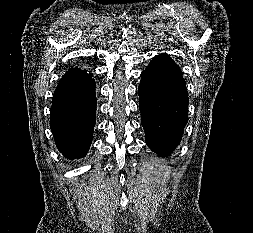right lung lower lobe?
<instances>
[{"mask_svg": "<svg viewBox=\"0 0 253 233\" xmlns=\"http://www.w3.org/2000/svg\"><path fill=\"white\" fill-rule=\"evenodd\" d=\"M95 80L87 70L70 68L54 92L50 127L60 152L68 159L84 157L93 137Z\"/></svg>", "mask_w": 253, "mask_h": 233, "instance_id": "obj_1", "label": "right lung lower lobe"}]
</instances>
